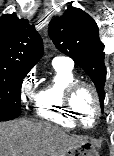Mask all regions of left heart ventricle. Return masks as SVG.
Here are the masks:
<instances>
[{
    "instance_id": "1",
    "label": "left heart ventricle",
    "mask_w": 114,
    "mask_h": 156,
    "mask_svg": "<svg viewBox=\"0 0 114 156\" xmlns=\"http://www.w3.org/2000/svg\"><path fill=\"white\" fill-rule=\"evenodd\" d=\"M74 104L82 121L86 125H91L95 114V102L91 92L86 88L79 90L75 96Z\"/></svg>"
}]
</instances>
